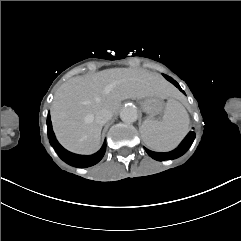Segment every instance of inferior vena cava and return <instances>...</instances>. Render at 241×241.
Wrapping results in <instances>:
<instances>
[{
	"mask_svg": "<svg viewBox=\"0 0 241 241\" xmlns=\"http://www.w3.org/2000/svg\"><path fill=\"white\" fill-rule=\"evenodd\" d=\"M111 117H112V114L110 111L102 109L99 112H97L95 115L88 114L85 117V121L87 123L96 121L99 125H104L111 119Z\"/></svg>",
	"mask_w": 241,
	"mask_h": 241,
	"instance_id": "obj_1",
	"label": "inferior vena cava"
}]
</instances>
